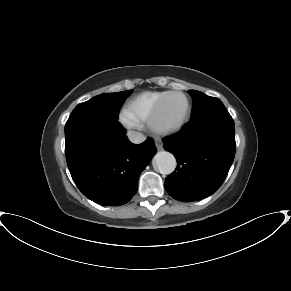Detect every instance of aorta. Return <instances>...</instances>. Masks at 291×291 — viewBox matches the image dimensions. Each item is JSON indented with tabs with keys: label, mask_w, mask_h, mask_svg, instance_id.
<instances>
[{
	"label": "aorta",
	"mask_w": 291,
	"mask_h": 291,
	"mask_svg": "<svg viewBox=\"0 0 291 291\" xmlns=\"http://www.w3.org/2000/svg\"><path fill=\"white\" fill-rule=\"evenodd\" d=\"M155 163L161 174L169 175L174 172L177 162L174 155L167 151H160L154 156Z\"/></svg>",
	"instance_id": "762f6f07"
}]
</instances>
